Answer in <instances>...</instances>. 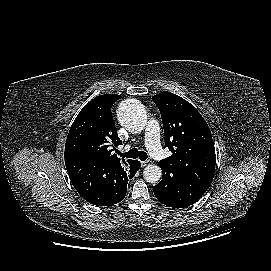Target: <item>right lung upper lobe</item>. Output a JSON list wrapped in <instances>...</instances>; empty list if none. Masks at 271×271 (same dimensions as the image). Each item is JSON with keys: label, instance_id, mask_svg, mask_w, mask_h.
<instances>
[{"label": "right lung upper lobe", "instance_id": "right-lung-upper-lobe-1", "mask_svg": "<svg viewBox=\"0 0 271 271\" xmlns=\"http://www.w3.org/2000/svg\"><path fill=\"white\" fill-rule=\"evenodd\" d=\"M120 98L117 94L100 95L82 108L69 130L65 159L82 156L109 166L123 167V163L113 152L122 141L117 135L111 114L113 103ZM136 162L137 160H129L126 171Z\"/></svg>", "mask_w": 271, "mask_h": 271}]
</instances>
